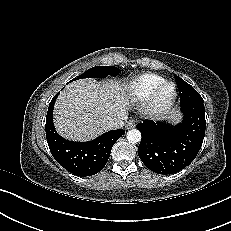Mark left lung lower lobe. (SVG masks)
<instances>
[{
	"instance_id": "obj_1",
	"label": "left lung lower lobe",
	"mask_w": 231,
	"mask_h": 231,
	"mask_svg": "<svg viewBox=\"0 0 231 231\" xmlns=\"http://www.w3.org/2000/svg\"><path fill=\"white\" fill-rule=\"evenodd\" d=\"M184 115L178 125L144 120L137 124L142 138L138 155L144 165L157 174L176 173L197 156L205 136L204 102H181Z\"/></svg>"
}]
</instances>
